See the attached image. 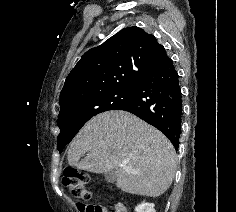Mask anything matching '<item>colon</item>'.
<instances>
[{
  "instance_id": "colon-1",
  "label": "colon",
  "mask_w": 236,
  "mask_h": 212,
  "mask_svg": "<svg viewBox=\"0 0 236 212\" xmlns=\"http://www.w3.org/2000/svg\"><path fill=\"white\" fill-rule=\"evenodd\" d=\"M91 179L88 175L77 172L74 169H67L64 172L63 184L69 192L77 199L90 201L93 198V192L90 189ZM107 209L101 205H83L81 212H104Z\"/></svg>"
}]
</instances>
